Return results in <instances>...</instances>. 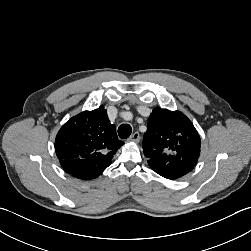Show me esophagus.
<instances>
[{
  "mask_svg": "<svg viewBox=\"0 0 251 251\" xmlns=\"http://www.w3.org/2000/svg\"><path fill=\"white\" fill-rule=\"evenodd\" d=\"M140 140V135L138 132L133 133L128 139V142H139Z\"/></svg>",
  "mask_w": 251,
  "mask_h": 251,
  "instance_id": "34e87169",
  "label": "esophagus"
}]
</instances>
